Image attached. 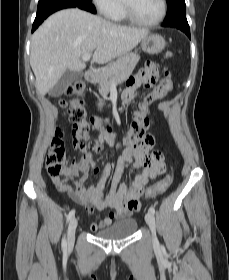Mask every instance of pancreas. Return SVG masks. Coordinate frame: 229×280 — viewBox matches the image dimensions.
<instances>
[{"label": "pancreas", "instance_id": "pancreas-1", "mask_svg": "<svg viewBox=\"0 0 229 280\" xmlns=\"http://www.w3.org/2000/svg\"><path fill=\"white\" fill-rule=\"evenodd\" d=\"M139 59L140 56L138 54L128 53L105 67L98 74L97 83L99 84V93L103 99H107L112 83H121L132 73ZM102 105L103 102L100 101L99 106Z\"/></svg>", "mask_w": 229, "mask_h": 280}]
</instances>
